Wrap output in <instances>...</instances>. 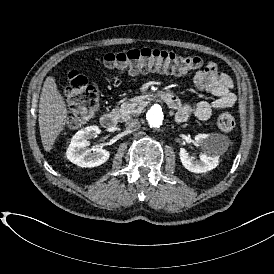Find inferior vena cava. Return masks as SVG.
Instances as JSON below:
<instances>
[{
  "mask_svg": "<svg viewBox=\"0 0 274 274\" xmlns=\"http://www.w3.org/2000/svg\"><path fill=\"white\" fill-rule=\"evenodd\" d=\"M125 127L128 130H138L141 127V124L138 119H129L126 121Z\"/></svg>",
  "mask_w": 274,
  "mask_h": 274,
  "instance_id": "obj_1",
  "label": "inferior vena cava"
}]
</instances>
